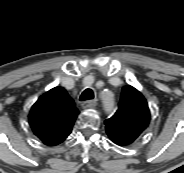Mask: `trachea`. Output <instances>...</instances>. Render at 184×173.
<instances>
[{
	"mask_svg": "<svg viewBox=\"0 0 184 173\" xmlns=\"http://www.w3.org/2000/svg\"><path fill=\"white\" fill-rule=\"evenodd\" d=\"M94 98V93H93V90L91 89H86L82 92L79 100L80 101H86V100H91Z\"/></svg>",
	"mask_w": 184,
	"mask_h": 173,
	"instance_id": "1",
	"label": "trachea"
}]
</instances>
